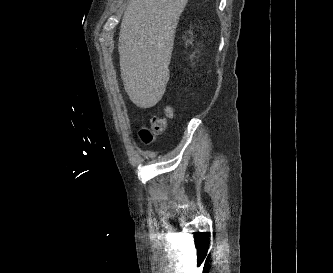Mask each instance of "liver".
I'll return each mask as SVG.
<instances>
[{"label":"liver","instance_id":"1","mask_svg":"<svg viewBox=\"0 0 333 273\" xmlns=\"http://www.w3.org/2000/svg\"><path fill=\"white\" fill-rule=\"evenodd\" d=\"M188 0H130L120 28L121 77L131 101L151 108L169 81L175 29Z\"/></svg>","mask_w":333,"mask_h":273}]
</instances>
